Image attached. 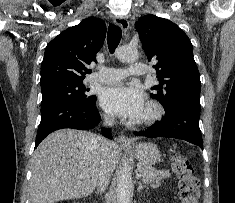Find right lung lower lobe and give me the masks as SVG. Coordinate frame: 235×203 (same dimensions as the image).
<instances>
[{"label": "right lung lower lobe", "instance_id": "1", "mask_svg": "<svg viewBox=\"0 0 235 203\" xmlns=\"http://www.w3.org/2000/svg\"><path fill=\"white\" fill-rule=\"evenodd\" d=\"M96 96L88 102L63 101L41 109V122L38 127L35 147L51 132L73 128L87 130L94 128L100 121L95 106ZM102 135L112 139L109 129L102 128Z\"/></svg>", "mask_w": 235, "mask_h": 203}]
</instances>
